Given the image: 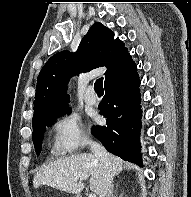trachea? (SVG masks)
I'll return each instance as SVG.
<instances>
[{"label":"trachea","mask_w":191,"mask_h":197,"mask_svg":"<svg viewBox=\"0 0 191 197\" xmlns=\"http://www.w3.org/2000/svg\"><path fill=\"white\" fill-rule=\"evenodd\" d=\"M94 90L97 94H103L104 89H103V78H99L96 80L94 84Z\"/></svg>","instance_id":"trachea-1"}]
</instances>
